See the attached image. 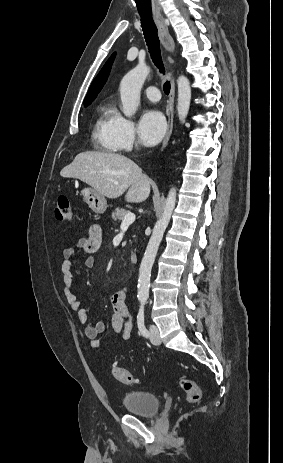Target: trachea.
I'll list each match as a JSON object with an SVG mask.
<instances>
[{
  "mask_svg": "<svg viewBox=\"0 0 283 463\" xmlns=\"http://www.w3.org/2000/svg\"><path fill=\"white\" fill-rule=\"evenodd\" d=\"M141 17V27L144 33V37L149 49V53L154 64L159 69L160 73H165V69L162 62L161 51H160V42L157 34V27L153 21L151 15L140 14ZM164 92L166 95L170 93V83L166 81L163 86Z\"/></svg>",
  "mask_w": 283,
  "mask_h": 463,
  "instance_id": "trachea-1",
  "label": "trachea"
}]
</instances>
